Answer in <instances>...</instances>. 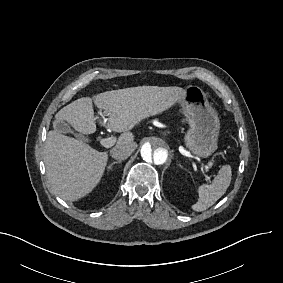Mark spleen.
<instances>
[{"label":"spleen","instance_id":"3e777b00","mask_svg":"<svg viewBox=\"0 0 283 283\" xmlns=\"http://www.w3.org/2000/svg\"><path fill=\"white\" fill-rule=\"evenodd\" d=\"M231 179V166H222L210 184H202L198 187V201L192 204V210L200 212L211 207L224 195Z\"/></svg>","mask_w":283,"mask_h":283}]
</instances>
